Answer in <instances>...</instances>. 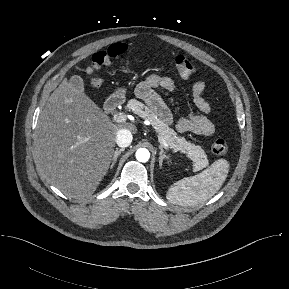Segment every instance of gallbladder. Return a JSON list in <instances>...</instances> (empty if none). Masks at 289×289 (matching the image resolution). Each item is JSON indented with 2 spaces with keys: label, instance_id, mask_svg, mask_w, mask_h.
Segmentation results:
<instances>
[{
  "label": "gallbladder",
  "instance_id": "bac80fb5",
  "mask_svg": "<svg viewBox=\"0 0 289 289\" xmlns=\"http://www.w3.org/2000/svg\"><path fill=\"white\" fill-rule=\"evenodd\" d=\"M69 82L76 88L79 90H83L84 87V83H83V79L78 76V75H74L70 78Z\"/></svg>",
  "mask_w": 289,
  "mask_h": 289
}]
</instances>
